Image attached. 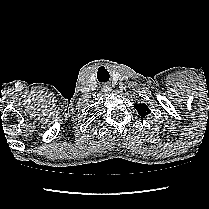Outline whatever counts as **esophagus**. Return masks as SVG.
Returning a JSON list of instances; mask_svg holds the SVG:
<instances>
[{"mask_svg":"<svg viewBox=\"0 0 209 209\" xmlns=\"http://www.w3.org/2000/svg\"><path fill=\"white\" fill-rule=\"evenodd\" d=\"M110 89H111V88H110L108 85H105L104 88H103V90H104L105 92L110 91Z\"/></svg>","mask_w":209,"mask_h":209,"instance_id":"obj_1","label":"esophagus"}]
</instances>
